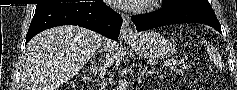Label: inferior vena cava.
<instances>
[{
  "mask_svg": "<svg viewBox=\"0 0 237 90\" xmlns=\"http://www.w3.org/2000/svg\"><path fill=\"white\" fill-rule=\"evenodd\" d=\"M113 62H114V52L112 58H107L106 62H104V64H101L99 68L100 78L102 80V82H100L99 84L100 90H105L106 86H108L107 82H105L104 80V76H106L107 68H109V66H112Z\"/></svg>",
  "mask_w": 237,
  "mask_h": 90,
  "instance_id": "inferior-vena-cava-1",
  "label": "inferior vena cava"
}]
</instances>
